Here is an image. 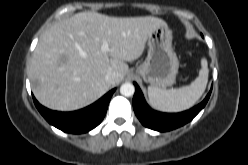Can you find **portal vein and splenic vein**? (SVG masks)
Listing matches in <instances>:
<instances>
[{"instance_id": "obj_1", "label": "portal vein and splenic vein", "mask_w": 248, "mask_h": 165, "mask_svg": "<svg viewBox=\"0 0 248 165\" xmlns=\"http://www.w3.org/2000/svg\"><path fill=\"white\" fill-rule=\"evenodd\" d=\"M101 50H102L103 52H107V51L109 50V45H108V43H107L106 41H104V42L102 43Z\"/></svg>"}]
</instances>
